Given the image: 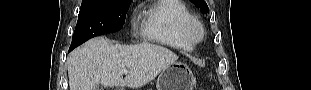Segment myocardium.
<instances>
[{"mask_svg":"<svg viewBox=\"0 0 311 90\" xmlns=\"http://www.w3.org/2000/svg\"><path fill=\"white\" fill-rule=\"evenodd\" d=\"M186 35L193 44L201 42L205 35L203 25L199 21L190 23L186 28Z\"/></svg>","mask_w":311,"mask_h":90,"instance_id":"obj_1","label":"myocardium"}]
</instances>
